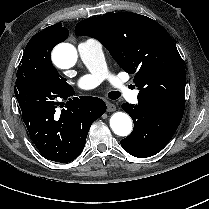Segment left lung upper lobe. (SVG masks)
Returning a JSON list of instances; mask_svg holds the SVG:
<instances>
[{
    "instance_id": "1",
    "label": "left lung upper lobe",
    "mask_w": 209,
    "mask_h": 209,
    "mask_svg": "<svg viewBox=\"0 0 209 209\" xmlns=\"http://www.w3.org/2000/svg\"><path fill=\"white\" fill-rule=\"evenodd\" d=\"M75 33L98 39L124 71L135 73L138 100L184 112V64L159 23L136 13H115L82 20Z\"/></svg>"
}]
</instances>
